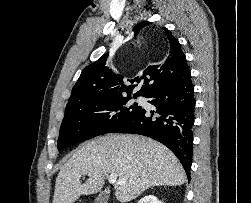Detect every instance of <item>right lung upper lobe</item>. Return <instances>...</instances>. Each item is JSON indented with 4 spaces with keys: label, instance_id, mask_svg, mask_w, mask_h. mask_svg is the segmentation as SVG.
Wrapping results in <instances>:
<instances>
[{
    "label": "right lung upper lobe",
    "instance_id": "1",
    "mask_svg": "<svg viewBox=\"0 0 251 203\" xmlns=\"http://www.w3.org/2000/svg\"><path fill=\"white\" fill-rule=\"evenodd\" d=\"M145 25L147 23L136 25L134 28L135 34ZM164 30L169 43V53L160 64L148 66L144 72H141V77L138 76L128 80L131 83H139L142 79L144 80L143 86L134 94V97L145 96L150 89L177 76L188 67L186 57L181 50L178 40L166 28ZM107 57L108 54L103 55L82 71L73 87L67 105L91 100L120 98L125 95L130 97L137 85H125L123 76L115 75L105 66Z\"/></svg>",
    "mask_w": 251,
    "mask_h": 203
}]
</instances>
